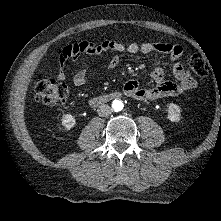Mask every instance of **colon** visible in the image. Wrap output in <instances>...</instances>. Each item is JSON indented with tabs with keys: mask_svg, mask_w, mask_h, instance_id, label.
<instances>
[{
	"mask_svg": "<svg viewBox=\"0 0 221 221\" xmlns=\"http://www.w3.org/2000/svg\"><path fill=\"white\" fill-rule=\"evenodd\" d=\"M78 54H68L66 58L75 59ZM191 69L199 76H205L208 72V66L205 59L196 53L189 59ZM69 94V88L66 84L58 82L56 79H45L35 83L36 100L50 106L65 104Z\"/></svg>",
	"mask_w": 221,
	"mask_h": 221,
	"instance_id": "1",
	"label": "colon"
}]
</instances>
